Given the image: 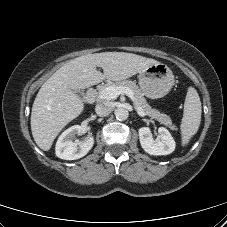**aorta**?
I'll list each match as a JSON object with an SVG mask.
<instances>
[{
    "label": "aorta",
    "mask_w": 227,
    "mask_h": 227,
    "mask_svg": "<svg viewBox=\"0 0 227 227\" xmlns=\"http://www.w3.org/2000/svg\"><path fill=\"white\" fill-rule=\"evenodd\" d=\"M128 111L124 108H118L115 110L116 119L119 121L126 120L128 118Z\"/></svg>",
    "instance_id": "1"
}]
</instances>
